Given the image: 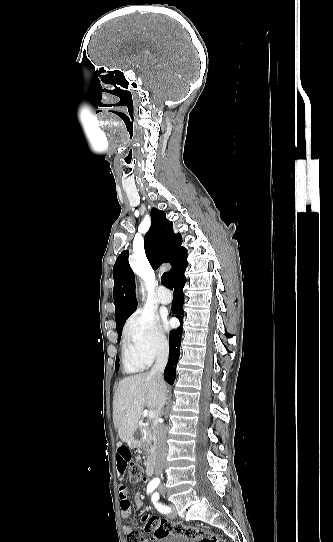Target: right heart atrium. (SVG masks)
<instances>
[{
  "mask_svg": "<svg viewBox=\"0 0 333 542\" xmlns=\"http://www.w3.org/2000/svg\"><path fill=\"white\" fill-rule=\"evenodd\" d=\"M126 343L139 347L151 358L164 355L169 348L168 331L158 318L145 312L135 313L123 330Z\"/></svg>",
  "mask_w": 333,
  "mask_h": 542,
  "instance_id": "1",
  "label": "right heart atrium"
}]
</instances>
